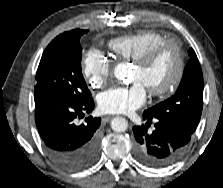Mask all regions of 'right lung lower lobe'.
I'll return each mask as SVG.
<instances>
[{"instance_id": "obj_1", "label": "right lung lower lobe", "mask_w": 223, "mask_h": 188, "mask_svg": "<svg viewBox=\"0 0 223 188\" xmlns=\"http://www.w3.org/2000/svg\"><path fill=\"white\" fill-rule=\"evenodd\" d=\"M35 121L46 151L61 168L79 171L91 166L100 153V118H77L94 109L93 99L77 102L65 97L37 93Z\"/></svg>"}]
</instances>
